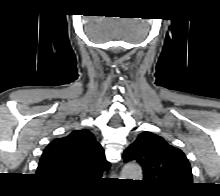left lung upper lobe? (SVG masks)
<instances>
[{
    "label": "left lung upper lobe",
    "instance_id": "1",
    "mask_svg": "<svg viewBox=\"0 0 220 196\" xmlns=\"http://www.w3.org/2000/svg\"><path fill=\"white\" fill-rule=\"evenodd\" d=\"M136 160L144 182L161 193H177L192 185L190 164L184 153L151 132L141 133L124 151V162Z\"/></svg>",
    "mask_w": 220,
    "mask_h": 196
}]
</instances>
